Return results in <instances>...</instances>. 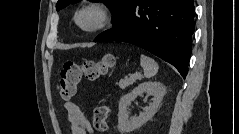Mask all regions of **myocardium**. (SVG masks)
<instances>
[{
	"label": "myocardium",
	"instance_id": "myocardium-1",
	"mask_svg": "<svg viewBox=\"0 0 239 134\" xmlns=\"http://www.w3.org/2000/svg\"><path fill=\"white\" fill-rule=\"evenodd\" d=\"M86 13L95 14L93 24L87 26L82 23V16ZM111 21V13L106 6L98 2H91L77 10L74 16L76 26L85 33H94L106 27Z\"/></svg>",
	"mask_w": 239,
	"mask_h": 134
}]
</instances>
